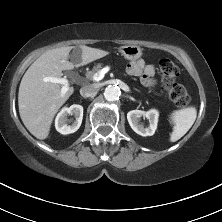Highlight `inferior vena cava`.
<instances>
[{
	"label": "inferior vena cava",
	"instance_id": "602c4592",
	"mask_svg": "<svg viewBox=\"0 0 222 222\" xmlns=\"http://www.w3.org/2000/svg\"><path fill=\"white\" fill-rule=\"evenodd\" d=\"M97 92L98 86L96 84L85 85L80 89V94L86 98L96 95Z\"/></svg>",
	"mask_w": 222,
	"mask_h": 222
}]
</instances>
